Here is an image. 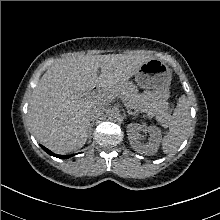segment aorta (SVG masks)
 I'll list each match as a JSON object with an SVG mask.
<instances>
[{
    "label": "aorta",
    "instance_id": "1",
    "mask_svg": "<svg viewBox=\"0 0 220 220\" xmlns=\"http://www.w3.org/2000/svg\"><path fill=\"white\" fill-rule=\"evenodd\" d=\"M119 116H120V113L117 109H111L108 111V118L110 120H116L119 118Z\"/></svg>",
    "mask_w": 220,
    "mask_h": 220
}]
</instances>
